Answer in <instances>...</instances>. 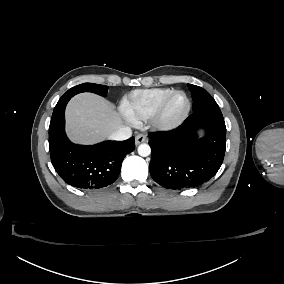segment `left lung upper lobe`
I'll list each match as a JSON object with an SVG mask.
<instances>
[{
    "instance_id": "1",
    "label": "left lung upper lobe",
    "mask_w": 284,
    "mask_h": 284,
    "mask_svg": "<svg viewBox=\"0 0 284 284\" xmlns=\"http://www.w3.org/2000/svg\"><path fill=\"white\" fill-rule=\"evenodd\" d=\"M188 88L192 94L193 112L208 106H218L213 97L203 88L191 84H188Z\"/></svg>"
}]
</instances>
